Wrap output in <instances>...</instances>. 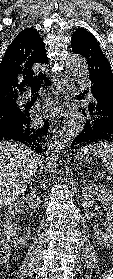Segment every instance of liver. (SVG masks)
Here are the masks:
<instances>
[{
	"instance_id": "1",
	"label": "liver",
	"mask_w": 113,
	"mask_h": 279,
	"mask_svg": "<svg viewBox=\"0 0 113 279\" xmlns=\"http://www.w3.org/2000/svg\"><path fill=\"white\" fill-rule=\"evenodd\" d=\"M39 156L21 143L0 142V207L14 203L26 191Z\"/></svg>"
}]
</instances>
